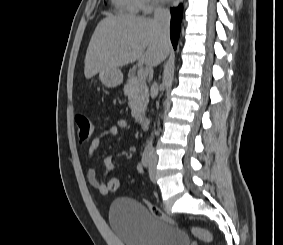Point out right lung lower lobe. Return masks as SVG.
<instances>
[{"label":"right lung lower lobe","mask_w":283,"mask_h":245,"mask_svg":"<svg viewBox=\"0 0 283 245\" xmlns=\"http://www.w3.org/2000/svg\"><path fill=\"white\" fill-rule=\"evenodd\" d=\"M181 19H182V5L178 8L171 9V24H170V33H171V42L176 48L177 41L181 28Z\"/></svg>","instance_id":"1"}]
</instances>
